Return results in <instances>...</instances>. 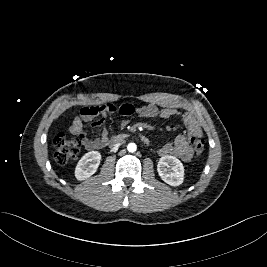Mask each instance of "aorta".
Segmentation results:
<instances>
[{"instance_id": "1", "label": "aorta", "mask_w": 267, "mask_h": 267, "mask_svg": "<svg viewBox=\"0 0 267 267\" xmlns=\"http://www.w3.org/2000/svg\"><path fill=\"white\" fill-rule=\"evenodd\" d=\"M136 149H137V146H136L135 143H129V144L127 145V150H128L129 152H135Z\"/></svg>"}]
</instances>
